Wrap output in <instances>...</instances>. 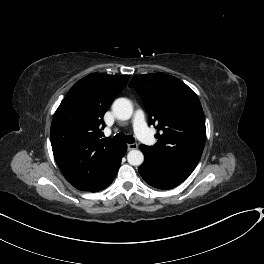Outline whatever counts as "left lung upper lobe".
Listing matches in <instances>:
<instances>
[{
    "instance_id": "left-lung-upper-lobe-1",
    "label": "left lung upper lobe",
    "mask_w": 264,
    "mask_h": 264,
    "mask_svg": "<svg viewBox=\"0 0 264 264\" xmlns=\"http://www.w3.org/2000/svg\"><path fill=\"white\" fill-rule=\"evenodd\" d=\"M129 87L140 95L149 125L157 128V143L144 146L162 160L195 168L206 140L204 113L195 92L162 72L136 75Z\"/></svg>"
}]
</instances>
